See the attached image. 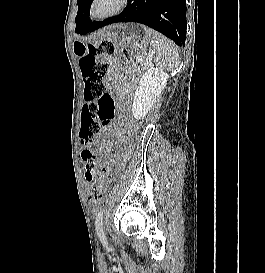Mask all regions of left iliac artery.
Here are the masks:
<instances>
[{"label":"left iliac artery","mask_w":265,"mask_h":273,"mask_svg":"<svg viewBox=\"0 0 265 273\" xmlns=\"http://www.w3.org/2000/svg\"><path fill=\"white\" fill-rule=\"evenodd\" d=\"M95 228H96V232L100 241L102 242L103 246L107 248L108 243L103 231V211L102 210H99L98 213L96 214Z\"/></svg>","instance_id":"1"}]
</instances>
